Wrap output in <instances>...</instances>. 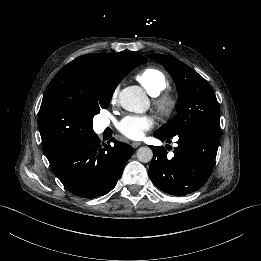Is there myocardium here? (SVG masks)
Returning <instances> with one entry per match:
<instances>
[{
    "mask_svg": "<svg viewBox=\"0 0 261 261\" xmlns=\"http://www.w3.org/2000/svg\"><path fill=\"white\" fill-rule=\"evenodd\" d=\"M176 101L170 94H163L156 101L158 112L163 117H169L175 109Z\"/></svg>",
    "mask_w": 261,
    "mask_h": 261,
    "instance_id": "1",
    "label": "myocardium"
}]
</instances>
